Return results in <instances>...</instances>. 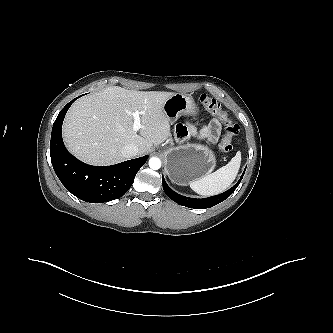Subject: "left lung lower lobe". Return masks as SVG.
Wrapping results in <instances>:
<instances>
[{
  "instance_id": "left-lung-lower-lobe-1",
  "label": "left lung lower lobe",
  "mask_w": 333,
  "mask_h": 333,
  "mask_svg": "<svg viewBox=\"0 0 333 333\" xmlns=\"http://www.w3.org/2000/svg\"><path fill=\"white\" fill-rule=\"evenodd\" d=\"M245 170H246V168H245ZM245 170H244L243 174L241 175L239 181L232 188H230L228 191H226L222 194L215 195V196L208 197V198L195 199V198H189V197L182 196V195L174 192L167 185V183L164 180V177H162L163 190L170 199H172L174 202H176L180 205L190 207V208H195V209H205V208L213 207V206L219 204L220 202L224 201L225 199H227L240 184V182L244 176Z\"/></svg>"
}]
</instances>
